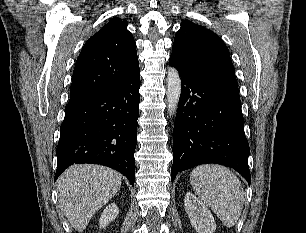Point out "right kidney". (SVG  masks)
Returning <instances> with one entry per match:
<instances>
[{"label": "right kidney", "mask_w": 306, "mask_h": 233, "mask_svg": "<svg viewBox=\"0 0 306 233\" xmlns=\"http://www.w3.org/2000/svg\"><path fill=\"white\" fill-rule=\"evenodd\" d=\"M119 209L115 203L109 204L102 212L99 219V227L105 228L118 215Z\"/></svg>", "instance_id": "ca27d5eb"}]
</instances>
